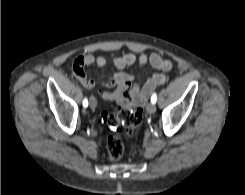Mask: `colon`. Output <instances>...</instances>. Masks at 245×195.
Masks as SVG:
<instances>
[{
	"mask_svg": "<svg viewBox=\"0 0 245 195\" xmlns=\"http://www.w3.org/2000/svg\"><path fill=\"white\" fill-rule=\"evenodd\" d=\"M143 109L122 108L118 112L106 113L103 116L104 124L111 131L123 130L127 134H132L141 123ZM108 159L112 163L118 162L124 153V144L120 137L114 133L108 136L107 140Z\"/></svg>",
	"mask_w": 245,
	"mask_h": 195,
	"instance_id": "5ec220e1",
	"label": "colon"
}]
</instances>
